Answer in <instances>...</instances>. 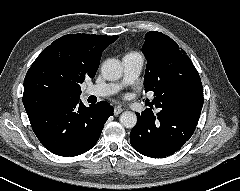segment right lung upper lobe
I'll list each match as a JSON object with an SVG mask.
<instances>
[{
    "label": "right lung upper lobe",
    "instance_id": "cb5924a9",
    "mask_svg": "<svg viewBox=\"0 0 240 191\" xmlns=\"http://www.w3.org/2000/svg\"><path fill=\"white\" fill-rule=\"evenodd\" d=\"M118 36L68 34L46 47L24 79L23 104L80 98V84L95 76L102 51Z\"/></svg>",
    "mask_w": 240,
    "mask_h": 191
}]
</instances>
